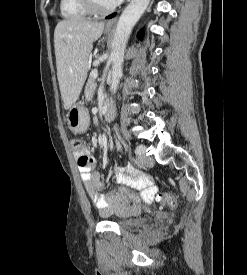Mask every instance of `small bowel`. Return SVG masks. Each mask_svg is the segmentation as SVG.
Masks as SVG:
<instances>
[{"label": "small bowel", "mask_w": 247, "mask_h": 275, "mask_svg": "<svg viewBox=\"0 0 247 275\" xmlns=\"http://www.w3.org/2000/svg\"><path fill=\"white\" fill-rule=\"evenodd\" d=\"M84 155L86 156V161H82L80 155L77 154L78 168L88 195L99 212L103 215L137 212L139 207L136 203H132L114 191H104L105 185L102 178L95 171L96 161L90 156L87 149L84 150ZM114 177L120 186L139 190L145 203H152L155 199L157 200L156 186L133 166L116 167L114 169Z\"/></svg>", "instance_id": "small-bowel-1"}]
</instances>
